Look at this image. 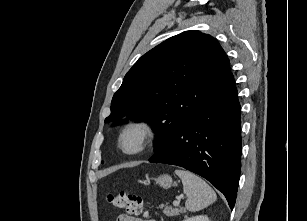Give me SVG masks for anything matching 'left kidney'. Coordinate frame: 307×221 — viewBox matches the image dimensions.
I'll return each mask as SVG.
<instances>
[{
  "mask_svg": "<svg viewBox=\"0 0 307 221\" xmlns=\"http://www.w3.org/2000/svg\"><path fill=\"white\" fill-rule=\"evenodd\" d=\"M184 221H210V220L207 216L200 215V216H194V217H191V218H187Z\"/></svg>",
  "mask_w": 307,
  "mask_h": 221,
  "instance_id": "obj_1",
  "label": "left kidney"
}]
</instances>
